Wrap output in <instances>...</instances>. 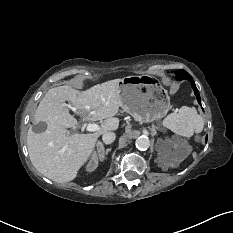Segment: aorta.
<instances>
[{"instance_id": "obj_1", "label": "aorta", "mask_w": 233, "mask_h": 233, "mask_svg": "<svg viewBox=\"0 0 233 233\" xmlns=\"http://www.w3.org/2000/svg\"><path fill=\"white\" fill-rule=\"evenodd\" d=\"M135 145L139 150H147L150 146V140L146 136H140L136 139Z\"/></svg>"}]
</instances>
